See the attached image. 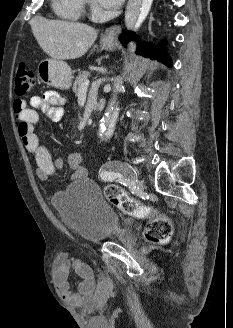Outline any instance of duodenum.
<instances>
[{"instance_id": "duodenum-1", "label": "duodenum", "mask_w": 233, "mask_h": 328, "mask_svg": "<svg viewBox=\"0 0 233 328\" xmlns=\"http://www.w3.org/2000/svg\"><path fill=\"white\" fill-rule=\"evenodd\" d=\"M106 106V100L104 98H100L96 103V108L98 111H102Z\"/></svg>"}]
</instances>
